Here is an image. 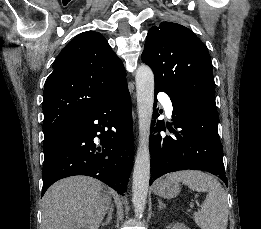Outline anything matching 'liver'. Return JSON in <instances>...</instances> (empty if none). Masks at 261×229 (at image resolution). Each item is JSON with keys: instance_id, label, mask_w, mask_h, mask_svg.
Segmentation results:
<instances>
[{"instance_id": "obj_1", "label": "liver", "mask_w": 261, "mask_h": 229, "mask_svg": "<svg viewBox=\"0 0 261 229\" xmlns=\"http://www.w3.org/2000/svg\"><path fill=\"white\" fill-rule=\"evenodd\" d=\"M111 201L110 193L97 179H62L42 199L41 229H99Z\"/></svg>"}]
</instances>
